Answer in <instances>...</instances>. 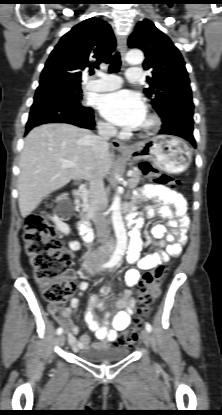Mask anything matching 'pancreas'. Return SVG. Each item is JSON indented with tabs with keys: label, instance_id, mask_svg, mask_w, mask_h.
Instances as JSON below:
<instances>
[{
	"label": "pancreas",
	"instance_id": "cf45deb5",
	"mask_svg": "<svg viewBox=\"0 0 222 415\" xmlns=\"http://www.w3.org/2000/svg\"><path fill=\"white\" fill-rule=\"evenodd\" d=\"M141 171L139 169L133 170V175L129 179V186L131 189L136 188L138 183L140 182Z\"/></svg>",
	"mask_w": 222,
	"mask_h": 415
}]
</instances>
